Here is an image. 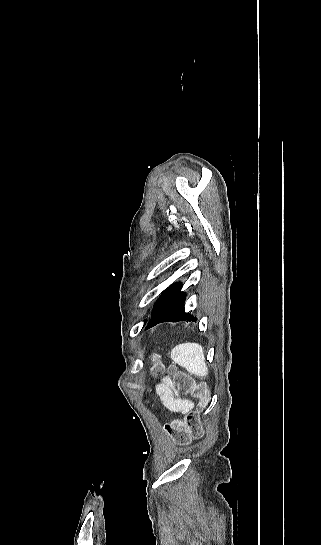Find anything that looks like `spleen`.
I'll return each instance as SVG.
<instances>
[{
  "instance_id": "1",
  "label": "spleen",
  "mask_w": 321,
  "mask_h": 545,
  "mask_svg": "<svg viewBox=\"0 0 321 545\" xmlns=\"http://www.w3.org/2000/svg\"><path fill=\"white\" fill-rule=\"evenodd\" d=\"M171 359L180 367H184L191 375L207 377L208 369L202 345L198 343H182L171 351Z\"/></svg>"
}]
</instances>
